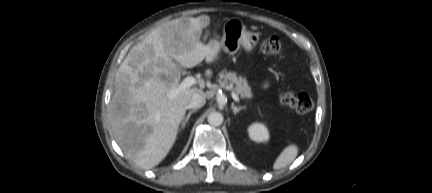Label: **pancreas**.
Masks as SVG:
<instances>
[{"instance_id": "1", "label": "pancreas", "mask_w": 432, "mask_h": 193, "mask_svg": "<svg viewBox=\"0 0 432 193\" xmlns=\"http://www.w3.org/2000/svg\"><path fill=\"white\" fill-rule=\"evenodd\" d=\"M218 82L222 88L232 86L233 91L242 99H251L253 97L252 89L248 85L247 80L241 76H237L235 72L221 71Z\"/></svg>"}]
</instances>
